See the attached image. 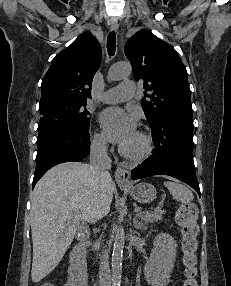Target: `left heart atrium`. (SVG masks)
<instances>
[{"label":"left heart atrium","mask_w":231,"mask_h":286,"mask_svg":"<svg viewBox=\"0 0 231 286\" xmlns=\"http://www.w3.org/2000/svg\"><path fill=\"white\" fill-rule=\"evenodd\" d=\"M100 124L109 139L123 147L137 134L135 118L119 107L105 109Z\"/></svg>","instance_id":"39dd6f15"}]
</instances>
